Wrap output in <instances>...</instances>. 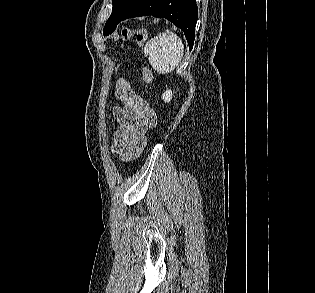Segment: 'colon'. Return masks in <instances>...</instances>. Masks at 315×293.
<instances>
[{
	"instance_id": "obj_1",
	"label": "colon",
	"mask_w": 315,
	"mask_h": 293,
	"mask_svg": "<svg viewBox=\"0 0 315 293\" xmlns=\"http://www.w3.org/2000/svg\"><path fill=\"white\" fill-rule=\"evenodd\" d=\"M122 36L124 39H129L134 37L137 42L141 45V47H144V43L147 42V35L144 30L140 29H131V28H124L122 31ZM142 78L146 85H149L152 83L153 76L151 71L148 67H144L142 71ZM117 85H119L117 88H114V93L118 94H129L132 90L131 84L133 83V80L131 78H118ZM116 85V84H115ZM146 145V140H143L142 143L138 146L137 151L134 155V158L137 157L143 150V148Z\"/></svg>"
}]
</instances>
